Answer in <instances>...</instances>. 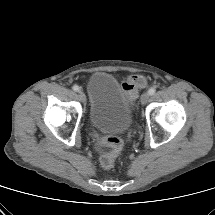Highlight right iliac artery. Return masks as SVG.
Listing matches in <instances>:
<instances>
[{"instance_id": "right-iliac-artery-1", "label": "right iliac artery", "mask_w": 215, "mask_h": 215, "mask_svg": "<svg viewBox=\"0 0 215 215\" xmlns=\"http://www.w3.org/2000/svg\"><path fill=\"white\" fill-rule=\"evenodd\" d=\"M72 89H73L74 91H76V92H78V91L80 90V88H79L77 85H74V86L72 87Z\"/></svg>"}]
</instances>
